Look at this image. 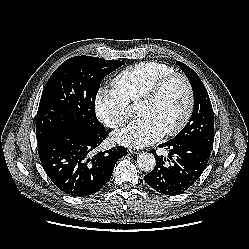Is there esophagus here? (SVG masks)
Masks as SVG:
<instances>
[{
  "label": "esophagus",
  "mask_w": 249,
  "mask_h": 249,
  "mask_svg": "<svg viewBox=\"0 0 249 249\" xmlns=\"http://www.w3.org/2000/svg\"><path fill=\"white\" fill-rule=\"evenodd\" d=\"M128 153H130V154H138V153H140V151L135 150V149H128Z\"/></svg>",
  "instance_id": "obj_1"
}]
</instances>
